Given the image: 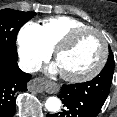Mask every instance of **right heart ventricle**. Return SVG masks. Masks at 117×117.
Wrapping results in <instances>:
<instances>
[{
	"label": "right heart ventricle",
	"mask_w": 117,
	"mask_h": 117,
	"mask_svg": "<svg viewBox=\"0 0 117 117\" xmlns=\"http://www.w3.org/2000/svg\"><path fill=\"white\" fill-rule=\"evenodd\" d=\"M45 44L53 49L55 45L70 31L89 27L86 23L69 16H55L43 20L39 25Z\"/></svg>",
	"instance_id": "obj_1"
}]
</instances>
